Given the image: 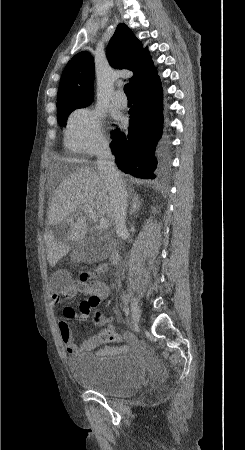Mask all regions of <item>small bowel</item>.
Here are the masks:
<instances>
[{
	"instance_id": "obj_1",
	"label": "small bowel",
	"mask_w": 245,
	"mask_h": 450,
	"mask_svg": "<svg viewBox=\"0 0 245 450\" xmlns=\"http://www.w3.org/2000/svg\"><path fill=\"white\" fill-rule=\"evenodd\" d=\"M93 285H94V291L92 296L93 299L99 301L105 299L108 296L111 286H109L108 284H106L101 280H96ZM75 292H76L75 286H71L68 288L66 292L52 294L51 305L57 307L61 303L62 298L73 297ZM78 318L82 321H88L90 319V311H87L83 308V303L80 304L78 311ZM59 327L61 339L69 354L77 355L83 352L95 351L97 347L102 343L98 335H90L87 338H85L81 343H76L72 338L70 324L68 322H61ZM126 339L127 345L120 347L107 346L102 350H99L98 353L120 355L126 352L130 347H135L137 345V340L133 335L131 334L126 335Z\"/></svg>"
}]
</instances>
